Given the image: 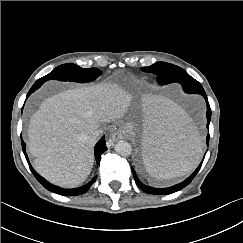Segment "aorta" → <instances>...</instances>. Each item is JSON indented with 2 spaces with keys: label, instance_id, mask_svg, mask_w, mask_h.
<instances>
[{
  "label": "aorta",
  "instance_id": "obj_1",
  "mask_svg": "<svg viewBox=\"0 0 243 243\" xmlns=\"http://www.w3.org/2000/svg\"><path fill=\"white\" fill-rule=\"evenodd\" d=\"M115 151L116 153H118L121 156H129L132 153V146L129 142L127 141H119L118 143H116L115 145Z\"/></svg>",
  "mask_w": 243,
  "mask_h": 243
}]
</instances>
